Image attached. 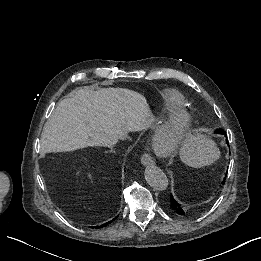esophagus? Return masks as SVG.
Segmentation results:
<instances>
[{
	"instance_id": "obj_1",
	"label": "esophagus",
	"mask_w": 261,
	"mask_h": 261,
	"mask_svg": "<svg viewBox=\"0 0 261 261\" xmlns=\"http://www.w3.org/2000/svg\"><path fill=\"white\" fill-rule=\"evenodd\" d=\"M141 163L142 165L144 166H147V165H155V162L153 160V158L150 156V154L148 153H144L141 157Z\"/></svg>"
}]
</instances>
